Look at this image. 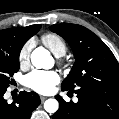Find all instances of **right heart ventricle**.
Masks as SVG:
<instances>
[{"instance_id": "e07e8e85", "label": "right heart ventricle", "mask_w": 119, "mask_h": 119, "mask_svg": "<svg viewBox=\"0 0 119 119\" xmlns=\"http://www.w3.org/2000/svg\"><path fill=\"white\" fill-rule=\"evenodd\" d=\"M42 43L56 56H63L67 51L65 41L57 34L46 33L41 37Z\"/></svg>"}]
</instances>
